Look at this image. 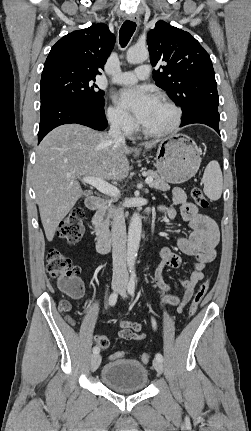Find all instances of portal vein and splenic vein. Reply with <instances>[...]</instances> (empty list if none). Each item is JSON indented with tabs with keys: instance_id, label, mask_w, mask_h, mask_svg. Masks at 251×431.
Instances as JSON below:
<instances>
[{
	"instance_id": "portal-vein-and-splenic-vein-1",
	"label": "portal vein and splenic vein",
	"mask_w": 251,
	"mask_h": 431,
	"mask_svg": "<svg viewBox=\"0 0 251 431\" xmlns=\"http://www.w3.org/2000/svg\"><path fill=\"white\" fill-rule=\"evenodd\" d=\"M81 181L83 183H87V184L95 187L101 193L108 195V196H111V197H116L120 193V191L117 187L109 184L108 182H106L103 179L98 178V177L87 176V177H83L81 179ZM152 181H153L152 177H147L145 179L146 184H150Z\"/></svg>"
}]
</instances>
